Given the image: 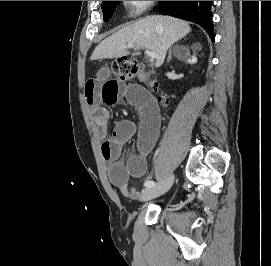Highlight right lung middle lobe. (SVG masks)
<instances>
[{
  "instance_id": "right-lung-middle-lobe-1",
  "label": "right lung middle lobe",
  "mask_w": 271,
  "mask_h": 266,
  "mask_svg": "<svg viewBox=\"0 0 271 266\" xmlns=\"http://www.w3.org/2000/svg\"><path fill=\"white\" fill-rule=\"evenodd\" d=\"M119 1H103L102 2V11L104 14V20L107 21L110 19L113 10Z\"/></svg>"
}]
</instances>
